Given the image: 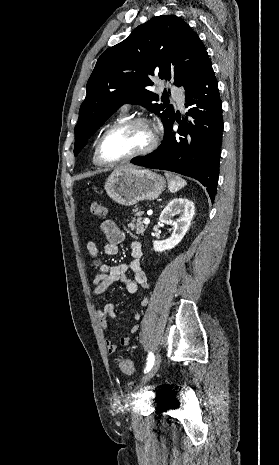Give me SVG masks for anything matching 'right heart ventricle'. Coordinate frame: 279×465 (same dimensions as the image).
<instances>
[{
	"label": "right heart ventricle",
	"mask_w": 279,
	"mask_h": 465,
	"mask_svg": "<svg viewBox=\"0 0 279 465\" xmlns=\"http://www.w3.org/2000/svg\"><path fill=\"white\" fill-rule=\"evenodd\" d=\"M125 118H126V111H125V110H121V111L107 124L106 128H107L108 126H110L111 124H114V123H116V122H118V121H120V120H122V119H125ZM93 162H94L95 165H98V166L102 165V164L100 163V161L98 160V157H97V154H96V148H95L94 153H93Z\"/></svg>",
	"instance_id": "e07e8e85"
}]
</instances>
